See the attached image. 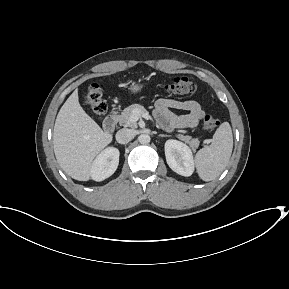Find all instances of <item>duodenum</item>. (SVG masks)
<instances>
[{"label": "duodenum", "mask_w": 289, "mask_h": 289, "mask_svg": "<svg viewBox=\"0 0 289 289\" xmlns=\"http://www.w3.org/2000/svg\"><path fill=\"white\" fill-rule=\"evenodd\" d=\"M117 125V116L115 112H111L104 120L103 122V128L107 132L114 131L115 127Z\"/></svg>", "instance_id": "410a0bca"}]
</instances>
